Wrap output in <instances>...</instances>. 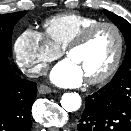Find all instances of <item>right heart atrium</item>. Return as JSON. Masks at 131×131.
I'll use <instances>...</instances> for the list:
<instances>
[{
  "label": "right heart atrium",
  "instance_id": "obj_1",
  "mask_svg": "<svg viewBox=\"0 0 131 131\" xmlns=\"http://www.w3.org/2000/svg\"><path fill=\"white\" fill-rule=\"evenodd\" d=\"M14 52L18 65L30 75L41 74L50 62L62 54L42 33L30 29L18 36Z\"/></svg>",
  "mask_w": 131,
  "mask_h": 131
}]
</instances>
